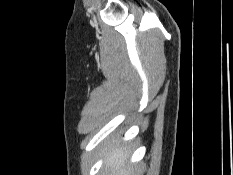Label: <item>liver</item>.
Here are the masks:
<instances>
[{
    "instance_id": "liver-1",
    "label": "liver",
    "mask_w": 233,
    "mask_h": 175,
    "mask_svg": "<svg viewBox=\"0 0 233 175\" xmlns=\"http://www.w3.org/2000/svg\"><path fill=\"white\" fill-rule=\"evenodd\" d=\"M107 158L105 160V165L108 168H111L113 172H117V175H128L127 168L124 167L129 153L126 149L120 148H112L106 152Z\"/></svg>"
}]
</instances>
